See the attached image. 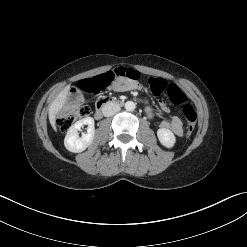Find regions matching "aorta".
<instances>
[{
    "label": "aorta",
    "instance_id": "762f6f07",
    "mask_svg": "<svg viewBox=\"0 0 247 247\" xmlns=\"http://www.w3.org/2000/svg\"><path fill=\"white\" fill-rule=\"evenodd\" d=\"M135 108H136V104L133 101H127L125 103V109L127 111H133V110H135Z\"/></svg>",
    "mask_w": 247,
    "mask_h": 247
}]
</instances>
